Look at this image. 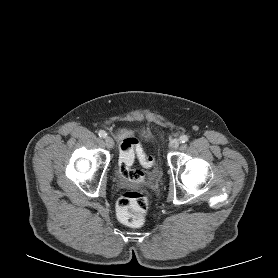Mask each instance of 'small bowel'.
Wrapping results in <instances>:
<instances>
[{"label": "small bowel", "instance_id": "small-bowel-1", "mask_svg": "<svg viewBox=\"0 0 278 278\" xmlns=\"http://www.w3.org/2000/svg\"><path fill=\"white\" fill-rule=\"evenodd\" d=\"M117 136L119 139H121L122 141L126 140V139H131L132 137V132L128 129L122 128L119 129L117 131Z\"/></svg>", "mask_w": 278, "mask_h": 278}]
</instances>
